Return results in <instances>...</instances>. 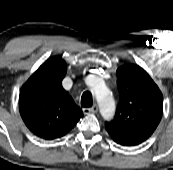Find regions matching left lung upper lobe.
<instances>
[{
    "label": "left lung upper lobe",
    "instance_id": "obj_1",
    "mask_svg": "<svg viewBox=\"0 0 173 170\" xmlns=\"http://www.w3.org/2000/svg\"><path fill=\"white\" fill-rule=\"evenodd\" d=\"M120 102L112 121L105 127L115 142L134 146L148 139L158 126L163 95L147 72L128 64L116 71Z\"/></svg>",
    "mask_w": 173,
    "mask_h": 170
}]
</instances>
